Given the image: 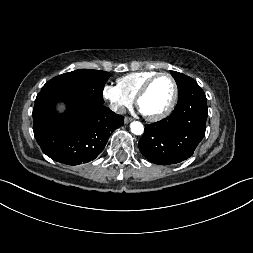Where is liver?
Returning <instances> with one entry per match:
<instances>
[{
  "instance_id": "1",
  "label": "liver",
  "mask_w": 253,
  "mask_h": 253,
  "mask_svg": "<svg viewBox=\"0 0 253 253\" xmlns=\"http://www.w3.org/2000/svg\"><path fill=\"white\" fill-rule=\"evenodd\" d=\"M64 109H65L64 105H62V104H59V105H58V111H59V112H63Z\"/></svg>"
}]
</instances>
